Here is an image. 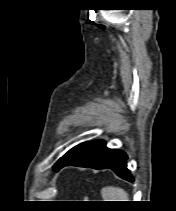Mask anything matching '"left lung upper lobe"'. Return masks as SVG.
Here are the masks:
<instances>
[{
	"mask_svg": "<svg viewBox=\"0 0 176 211\" xmlns=\"http://www.w3.org/2000/svg\"><path fill=\"white\" fill-rule=\"evenodd\" d=\"M87 144V142L79 144L72 149H70L62 158H60L57 163L54 165V169L56 170L64 161L70 159L74 155H76L78 152H80L84 146Z\"/></svg>",
	"mask_w": 176,
	"mask_h": 211,
	"instance_id": "5c2ea615",
	"label": "left lung upper lobe"
}]
</instances>
